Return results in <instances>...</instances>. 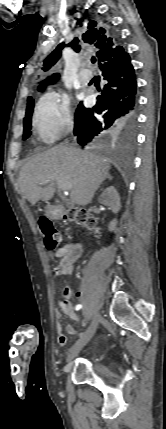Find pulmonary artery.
Here are the masks:
<instances>
[{
    "mask_svg": "<svg viewBox=\"0 0 166 429\" xmlns=\"http://www.w3.org/2000/svg\"><path fill=\"white\" fill-rule=\"evenodd\" d=\"M89 62H87L86 63V66H85V68H84V70H83V73L85 74V77H80V82H81V84L82 85H85V84H87V82L89 81V79L91 78V70L90 69H88V66H89Z\"/></svg>",
    "mask_w": 166,
    "mask_h": 429,
    "instance_id": "e3ab8cb5",
    "label": "pulmonary artery"
}]
</instances>
